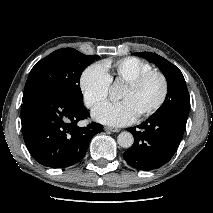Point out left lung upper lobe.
<instances>
[{
    "label": "left lung upper lobe",
    "mask_w": 213,
    "mask_h": 213,
    "mask_svg": "<svg viewBox=\"0 0 213 213\" xmlns=\"http://www.w3.org/2000/svg\"><path fill=\"white\" fill-rule=\"evenodd\" d=\"M133 55L146 58L148 61L153 62L163 72L167 80L168 93L165 101L150 117H156L164 113H179L188 116L190 98L182 72L174 64L157 54L140 52L133 53Z\"/></svg>",
    "instance_id": "5c2ea615"
}]
</instances>
